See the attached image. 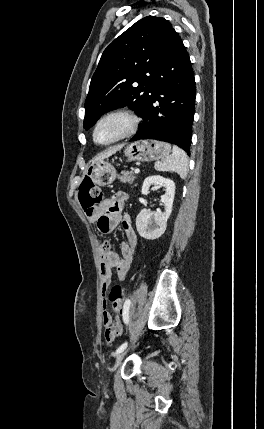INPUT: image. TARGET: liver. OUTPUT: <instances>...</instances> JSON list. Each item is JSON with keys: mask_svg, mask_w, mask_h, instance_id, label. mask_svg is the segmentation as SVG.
Returning a JSON list of instances; mask_svg holds the SVG:
<instances>
[{"mask_svg": "<svg viewBox=\"0 0 264 429\" xmlns=\"http://www.w3.org/2000/svg\"><path fill=\"white\" fill-rule=\"evenodd\" d=\"M124 145H118V146H114L109 148L108 150H105L104 152H102L101 154L97 155L93 160L92 163L97 162V161H101L104 160L105 158L110 157L111 155H113L117 150H120Z\"/></svg>", "mask_w": 264, "mask_h": 429, "instance_id": "liver-1", "label": "liver"}]
</instances>
